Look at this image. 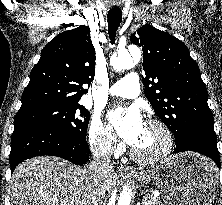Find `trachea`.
Wrapping results in <instances>:
<instances>
[{
    "mask_svg": "<svg viewBox=\"0 0 222 205\" xmlns=\"http://www.w3.org/2000/svg\"><path fill=\"white\" fill-rule=\"evenodd\" d=\"M107 18H108L109 38H110L111 44H114L116 32L122 21L121 9L118 7L111 8L107 14Z\"/></svg>",
    "mask_w": 222,
    "mask_h": 205,
    "instance_id": "obj_1",
    "label": "trachea"
}]
</instances>
